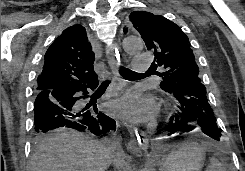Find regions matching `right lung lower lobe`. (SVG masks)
<instances>
[{"instance_id": "1", "label": "right lung lower lobe", "mask_w": 245, "mask_h": 171, "mask_svg": "<svg viewBox=\"0 0 245 171\" xmlns=\"http://www.w3.org/2000/svg\"><path fill=\"white\" fill-rule=\"evenodd\" d=\"M97 86L98 82L37 92L34 103L35 136L63 126L87 130L98 136L115 130L116 122L102 113L96 103H81L88 97V89L94 90Z\"/></svg>"}]
</instances>
